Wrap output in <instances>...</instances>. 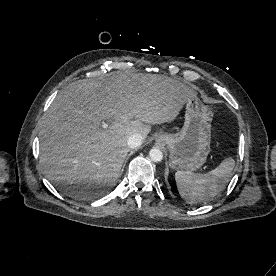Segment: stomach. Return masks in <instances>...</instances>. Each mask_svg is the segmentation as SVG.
<instances>
[{
  "mask_svg": "<svg viewBox=\"0 0 276 276\" xmlns=\"http://www.w3.org/2000/svg\"><path fill=\"white\" fill-rule=\"evenodd\" d=\"M212 111L198 98L186 102L185 122L179 133H160L157 141L169 150L172 169L196 171L210 153Z\"/></svg>",
  "mask_w": 276,
  "mask_h": 276,
  "instance_id": "0dacf381",
  "label": "stomach"
}]
</instances>
